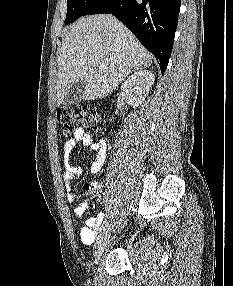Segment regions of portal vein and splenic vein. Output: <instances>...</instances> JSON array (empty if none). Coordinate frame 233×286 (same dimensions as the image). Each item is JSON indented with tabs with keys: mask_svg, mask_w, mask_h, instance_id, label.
Masks as SVG:
<instances>
[{
	"mask_svg": "<svg viewBox=\"0 0 233 286\" xmlns=\"http://www.w3.org/2000/svg\"><path fill=\"white\" fill-rule=\"evenodd\" d=\"M104 68H105V65H104L103 63H101V64L99 65V69L102 70V69H104Z\"/></svg>",
	"mask_w": 233,
	"mask_h": 286,
	"instance_id": "1",
	"label": "portal vein and splenic vein"
}]
</instances>
